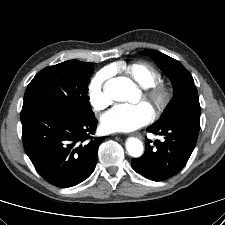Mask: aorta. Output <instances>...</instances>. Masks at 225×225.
<instances>
[{"mask_svg": "<svg viewBox=\"0 0 225 225\" xmlns=\"http://www.w3.org/2000/svg\"><path fill=\"white\" fill-rule=\"evenodd\" d=\"M104 92L107 97L115 101H127L136 91L135 84L126 77H115L107 80L104 84ZM126 150L130 156L139 158L144 152L143 143L130 137L126 141Z\"/></svg>", "mask_w": 225, "mask_h": 225, "instance_id": "762f6f07", "label": "aorta"}]
</instances>
